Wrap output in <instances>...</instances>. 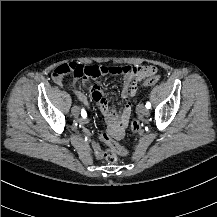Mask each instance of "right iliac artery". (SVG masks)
I'll list each match as a JSON object with an SVG mask.
<instances>
[{"mask_svg": "<svg viewBox=\"0 0 217 217\" xmlns=\"http://www.w3.org/2000/svg\"><path fill=\"white\" fill-rule=\"evenodd\" d=\"M81 116L83 118H85L87 116V113H86V111L84 109L81 110Z\"/></svg>", "mask_w": 217, "mask_h": 217, "instance_id": "82829eb1", "label": "right iliac artery"}]
</instances>
